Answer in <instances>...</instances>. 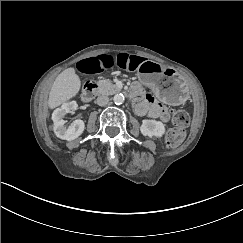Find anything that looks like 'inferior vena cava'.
Segmentation results:
<instances>
[{
    "mask_svg": "<svg viewBox=\"0 0 243 243\" xmlns=\"http://www.w3.org/2000/svg\"><path fill=\"white\" fill-rule=\"evenodd\" d=\"M99 106H106L109 103V97L105 95H101L96 100Z\"/></svg>",
    "mask_w": 243,
    "mask_h": 243,
    "instance_id": "inferior-vena-cava-1",
    "label": "inferior vena cava"
}]
</instances>
